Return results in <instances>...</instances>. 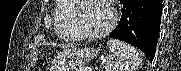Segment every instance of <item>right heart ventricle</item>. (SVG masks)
<instances>
[{
    "label": "right heart ventricle",
    "instance_id": "e07e8e85",
    "mask_svg": "<svg viewBox=\"0 0 181 71\" xmlns=\"http://www.w3.org/2000/svg\"><path fill=\"white\" fill-rule=\"evenodd\" d=\"M73 11V4L59 0L56 7V31L64 39H76L73 29L70 26V16Z\"/></svg>",
    "mask_w": 181,
    "mask_h": 71
}]
</instances>
